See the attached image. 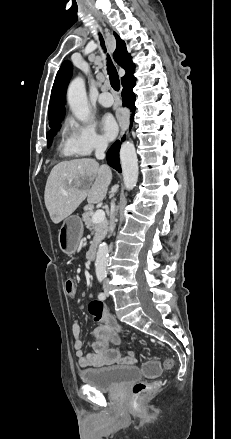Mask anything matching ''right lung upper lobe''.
I'll use <instances>...</instances> for the list:
<instances>
[{"mask_svg":"<svg viewBox=\"0 0 231 439\" xmlns=\"http://www.w3.org/2000/svg\"><path fill=\"white\" fill-rule=\"evenodd\" d=\"M117 47L114 51V60L126 70V74L122 77L121 82L124 83L130 78H133L135 65L132 63L131 56L127 52L126 45L120 37L114 33ZM72 75V65L69 61L62 63L57 72L53 88L51 91V98L49 103V120L50 127L59 125L63 120L65 114V94L67 85Z\"/></svg>","mask_w":231,"mask_h":439,"instance_id":"cb5924a9","label":"right lung upper lobe"}]
</instances>
